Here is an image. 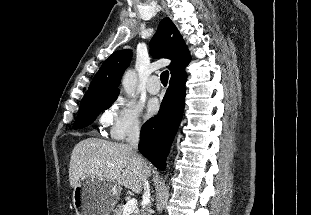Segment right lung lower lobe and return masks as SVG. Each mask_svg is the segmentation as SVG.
<instances>
[{
    "label": "right lung lower lobe",
    "instance_id": "1",
    "mask_svg": "<svg viewBox=\"0 0 311 215\" xmlns=\"http://www.w3.org/2000/svg\"><path fill=\"white\" fill-rule=\"evenodd\" d=\"M185 70L171 77L158 115L144 123L141 129L139 152L154 166L164 170L165 160L184 111Z\"/></svg>",
    "mask_w": 311,
    "mask_h": 215
}]
</instances>
